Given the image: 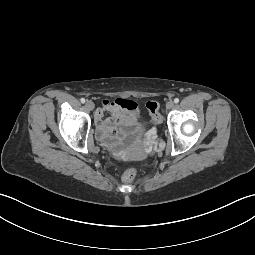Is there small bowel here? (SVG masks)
<instances>
[{
  "label": "small bowel",
  "instance_id": "small-bowel-1",
  "mask_svg": "<svg viewBox=\"0 0 255 255\" xmlns=\"http://www.w3.org/2000/svg\"><path fill=\"white\" fill-rule=\"evenodd\" d=\"M95 120L99 139L114 145L137 126V104L129 99H105L96 112Z\"/></svg>",
  "mask_w": 255,
  "mask_h": 255
}]
</instances>
